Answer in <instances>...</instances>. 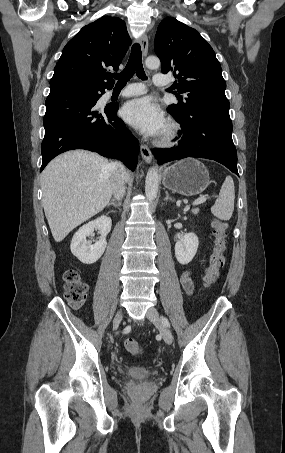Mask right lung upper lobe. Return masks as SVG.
I'll use <instances>...</instances> for the list:
<instances>
[{
  "label": "right lung upper lobe",
  "instance_id": "cb5924a9",
  "mask_svg": "<svg viewBox=\"0 0 285 453\" xmlns=\"http://www.w3.org/2000/svg\"><path fill=\"white\" fill-rule=\"evenodd\" d=\"M130 44L120 18L103 16L84 26L64 47L50 89L74 86L94 93L109 89L114 80L108 70L118 69Z\"/></svg>",
  "mask_w": 285,
  "mask_h": 453
}]
</instances>
